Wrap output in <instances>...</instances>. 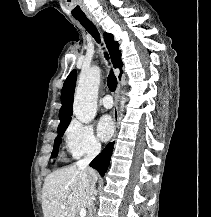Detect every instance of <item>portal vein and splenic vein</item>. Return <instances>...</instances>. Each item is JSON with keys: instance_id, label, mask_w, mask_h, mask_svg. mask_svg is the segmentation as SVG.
Here are the masks:
<instances>
[{"instance_id": "obj_1", "label": "portal vein and splenic vein", "mask_w": 211, "mask_h": 217, "mask_svg": "<svg viewBox=\"0 0 211 217\" xmlns=\"http://www.w3.org/2000/svg\"><path fill=\"white\" fill-rule=\"evenodd\" d=\"M72 199H73V197H69L68 202H70ZM63 208H65V207L63 206ZM85 216H86V209L82 208L80 210V217H85Z\"/></svg>"}]
</instances>
